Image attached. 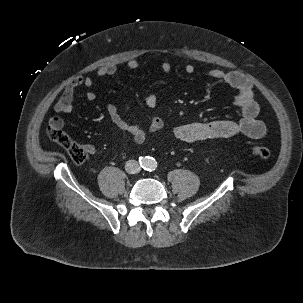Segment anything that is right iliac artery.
<instances>
[{
	"label": "right iliac artery",
	"instance_id": "obj_1",
	"mask_svg": "<svg viewBox=\"0 0 303 303\" xmlns=\"http://www.w3.org/2000/svg\"><path fill=\"white\" fill-rule=\"evenodd\" d=\"M139 161H140V164H142V165H146V163H147V160L143 157H140Z\"/></svg>",
	"mask_w": 303,
	"mask_h": 303
}]
</instances>
